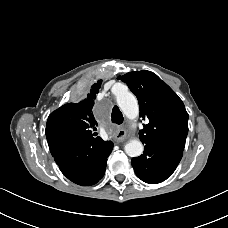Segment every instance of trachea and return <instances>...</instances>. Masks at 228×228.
Returning <instances> with one entry per match:
<instances>
[{
  "instance_id": "obj_1",
  "label": "trachea",
  "mask_w": 228,
  "mask_h": 228,
  "mask_svg": "<svg viewBox=\"0 0 228 228\" xmlns=\"http://www.w3.org/2000/svg\"><path fill=\"white\" fill-rule=\"evenodd\" d=\"M112 122L116 124H122L123 122V115L120 109L117 106H114L112 109Z\"/></svg>"
}]
</instances>
